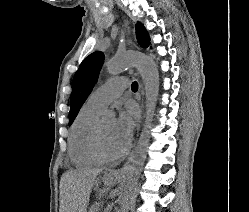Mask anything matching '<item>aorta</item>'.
Returning <instances> with one entry per match:
<instances>
[{
  "label": "aorta",
  "instance_id": "obj_1",
  "mask_svg": "<svg viewBox=\"0 0 249 212\" xmlns=\"http://www.w3.org/2000/svg\"><path fill=\"white\" fill-rule=\"evenodd\" d=\"M130 67L138 70L144 82L146 116L137 146L123 169L119 196L121 212H128L135 197L137 181L147 157L152 118L159 93V71L151 57L140 52L129 51L116 55L107 63V70L111 75H116Z\"/></svg>",
  "mask_w": 249,
  "mask_h": 212
}]
</instances>
